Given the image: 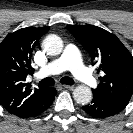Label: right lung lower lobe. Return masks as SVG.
I'll return each mask as SVG.
<instances>
[{
	"instance_id": "right-lung-lower-lobe-1",
	"label": "right lung lower lobe",
	"mask_w": 133,
	"mask_h": 133,
	"mask_svg": "<svg viewBox=\"0 0 133 133\" xmlns=\"http://www.w3.org/2000/svg\"><path fill=\"white\" fill-rule=\"evenodd\" d=\"M55 95H56V90L54 88H51V92H50L49 98L46 100V102L44 103L42 108L37 113L32 115L31 117L37 116V115L43 113L44 111H46L49 108V106L52 104Z\"/></svg>"
}]
</instances>
